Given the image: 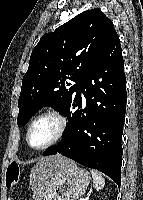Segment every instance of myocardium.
Listing matches in <instances>:
<instances>
[{"instance_id": "1", "label": "myocardium", "mask_w": 143, "mask_h": 200, "mask_svg": "<svg viewBox=\"0 0 143 200\" xmlns=\"http://www.w3.org/2000/svg\"><path fill=\"white\" fill-rule=\"evenodd\" d=\"M43 118L55 119L58 123V131H57L56 135L54 136V138L51 141H49L48 143H46L45 145L40 146V147H33V146H31L30 141H29L30 131H31L33 125L37 121H39ZM67 128H68V119L61 111L56 110V109L47 110V111H44L41 114L37 115L35 118H33L31 120V122L29 123L27 130H26L25 140H26L28 147H30L31 149L37 150V151H42V150H45V149L57 144L58 142H60L63 139L64 135L66 134Z\"/></svg>"}]
</instances>
